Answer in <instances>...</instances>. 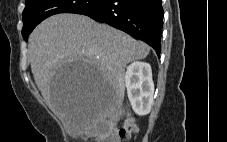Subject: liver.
I'll return each mask as SVG.
<instances>
[{"mask_svg": "<svg viewBox=\"0 0 227 142\" xmlns=\"http://www.w3.org/2000/svg\"><path fill=\"white\" fill-rule=\"evenodd\" d=\"M150 47L106 24L79 14H57L41 22L31 33V71L46 104L71 132L90 133L114 112L125 95L128 63L144 59ZM62 61H91L101 78L95 88H60L53 81Z\"/></svg>", "mask_w": 227, "mask_h": 142, "instance_id": "6515ba94", "label": "liver"}]
</instances>
